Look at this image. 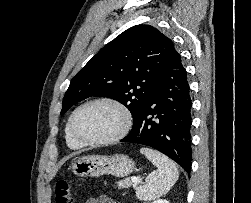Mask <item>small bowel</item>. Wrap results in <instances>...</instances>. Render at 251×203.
I'll use <instances>...</instances> for the list:
<instances>
[{
	"label": "small bowel",
	"instance_id": "obj_1",
	"mask_svg": "<svg viewBox=\"0 0 251 203\" xmlns=\"http://www.w3.org/2000/svg\"><path fill=\"white\" fill-rule=\"evenodd\" d=\"M86 203H118V202H116L115 200H113L109 197L102 196L99 198H91V199L87 200Z\"/></svg>",
	"mask_w": 251,
	"mask_h": 203
}]
</instances>
